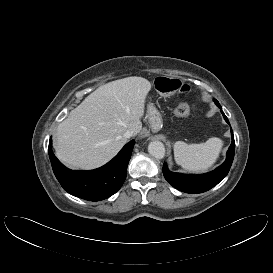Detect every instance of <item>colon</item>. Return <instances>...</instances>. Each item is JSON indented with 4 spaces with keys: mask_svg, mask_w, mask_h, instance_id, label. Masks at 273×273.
I'll return each mask as SVG.
<instances>
[{
    "mask_svg": "<svg viewBox=\"0 0 273 273\" xmlns=\"http://www.w3.org/2000/svg\"><path fill=\"white\" fill-rule=\"evenodd\" d=\"M158 91L164 94H185L190 90L189 85L178 79L159 77L155 81ZM176 114L180 117H187L190 114V108L186 104H180L176 108Z\"/></svg>",
    "mask_w": 273,
    "mask_h": 273,
    "instance_id": "1",
    "label": "colon"
}]
</instances>
